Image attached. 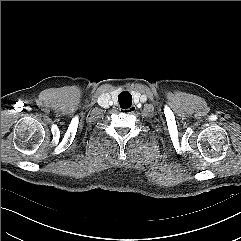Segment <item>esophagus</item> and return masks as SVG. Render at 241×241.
<instances>
[{"mask_svg":"<svg viewBox=\"0 0 241 241\" xmlns=\"http://www.w3.org/2000/svg\"><path fill=\"white\" fill-rule=\"evenodd\" d=\"M123 112L127 113V114H132L136 111V106L132 105L127 109H122Z\"/></svg>","mask_w":241,"mask_h":241,"instance_id":"obj_1","label":"esophagus"}]
</instances>
